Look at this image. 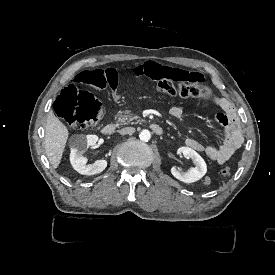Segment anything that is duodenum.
I'll return each mask as SVG.
<instances>
[{"label": "duodenum", "mask_w": 275, "mask_h": 275, "mask_svg": "<svg viewBox=\"0 0 275 275\" xmlns=\"http://www.w3.org/2000/svg\"><path fill=\"white\" fill-rule=\"evenodd\" d=\"M150 129L152 130L153 133L156 135H161L163 134V128L158 125V124H151ZM101 132L105 136H111L115 132V125L112 123H108L105 126L102 127Z\"/></svg>", "instance_id": "410a0bca"}]
</instances>
